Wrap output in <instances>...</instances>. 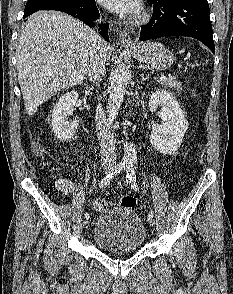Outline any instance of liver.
I'll return each mask as SVG.
<instances>
[{
  "label": "liver",
  "instance_id": "liver-1",
  "mask_svg": "<svg viewBox=\"0 0 233 294\" xmlns=\"http://www.w3.org/2000/svg\"><path fill=\"white\" fill-rule=\"evenodd\" d=\"M98 42L94 30L64 13L41 11L27 20L16 57L28 115L56 92L82 83ZM111 53L112 47L105 44L106 59Z\"/></svg>",
  "mask_w": 233,
  "mask_h": 294
}]
</instances>
